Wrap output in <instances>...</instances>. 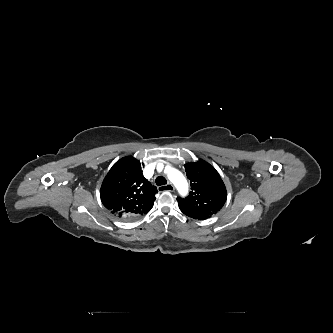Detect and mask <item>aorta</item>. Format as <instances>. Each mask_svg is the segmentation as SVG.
I'll return each instance as SVG.
<instances>
[{
    "mask_svg": "<svg viewBox=\"0 0 333 333\" xmlns=\"http://www.w3.org/2000/svg\"><path fill=\"white\" fill-rule=\"evenodd\" d=\"M168 179L175 185L180 195L185 196L188 192V182L184 175L175 168L167 172Z\"/></svg>",
    "mask_w": 333,
    "mask_h": 333,
    "instance_id": "1",
    "label": "aorta"
}]
</instances>
